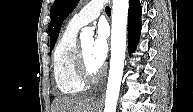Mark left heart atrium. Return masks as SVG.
I'll list each match as a JSON object with an SVG mask.
<instances>
[{"label": "left heart atrium", "instance_id": "obj_1", "mask_svg": "<svg viewBox=\"0 0 193 112\" xmlns=\"http://www.w3.org/2000/svg\"><path fill=\"white\" fill-rule=\"evenodd\" d=\"M108 54V32L104 25H99L93 41L92 56L95 62L102 66Z\"/></svg>", "mask_w": 193, "mask_h": 112}]
</instances>
